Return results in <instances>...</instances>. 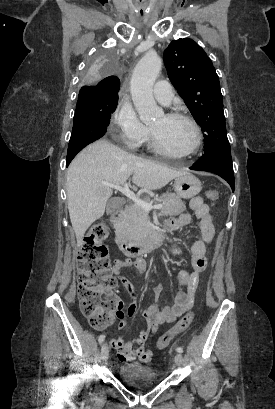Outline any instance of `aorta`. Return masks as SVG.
I'll list each match as a JSON object with an SVG mask.
<instances>
[{
	"instance_id": "aorta-1",
	"label": "aorta",
	"mask_w": 275,
	"mask_h": 409,
	"mask_svg": "<svg viewBox=\"0 0 275 409\" xmlns=\"http://www.w3.org/2000/svg\"><path fill=\"white\" fill-rule=\"evenodd\" d=\"M162 57V51H145L132 74L130 86L132 100L140 120L145 124L164 114L163 108L157 106L153 96V84L161 70Z\"/></svg>"
}]
</instances>
